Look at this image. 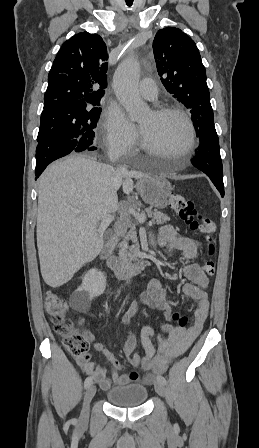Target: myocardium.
Listing matches in <instances>:
<instances>
[{
    "label": "myocardium",
    "mask_w": 259,
    "mask_h": 448,
    "mask_svg": "<svg viewBox=\"0 0 259 448\" xmlns=\"http://www.w3.org/2000/svg\"><path fill=\"white\" fill-rule=\"evenodd\" d=\"M153 114L156 116H162L168 113H172L177 115L182 119L187 128V137L185 142L177 149L178 157L183 162H188L191 157L192 147L195 142V127L193 125L192 120L187 115V113L179 106L174 104H160L156 105L153 110ZM140 139H141V148L147 152L155 153L156 149L150 146L142 137L141 132L139 131Z\"/></svg>",
    "instance_id": "1"
}]
</instances>
